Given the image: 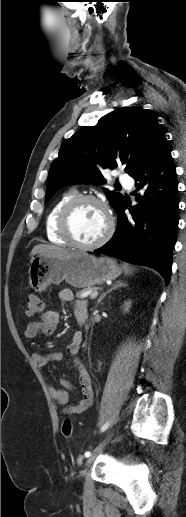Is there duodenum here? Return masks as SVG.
Segmentation results:
<instances>
[{
	"label": "duodenum",
	"mask_w": 186,
	"mask_h": 517,
	"mask_svg": "<svg viewBox=\"0 0 186 517\" xmlns=\"http://www.w3.org/2000/svg\"><path fill=\"white\" fill-rule=\"evenodd\" d=\"M87 318L88 314L86 310L79 312L77 315V319L80 325H84L87 321Z\"/></svg>",
	"instance_id": "410a0bca"
}]
</instances>
